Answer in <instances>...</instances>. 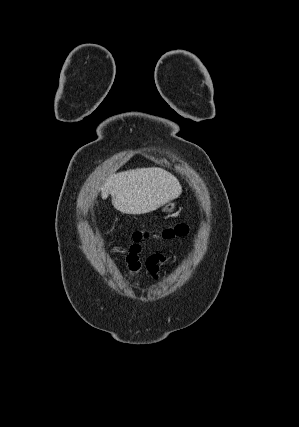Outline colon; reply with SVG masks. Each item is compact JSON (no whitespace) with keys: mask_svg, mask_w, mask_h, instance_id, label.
Returning a JSON list of instances; mask_svg holds the SVG:
<instances>
[{"mask_svg":"<svg viewBox=\"0 0 299 427\" xmlns=\"http://www.w3.org/2000/svg\"><path fill=\"white\" fill-rule=\"evenodd\" d=\"M189 231V228L186 224H176L174 226L165 228L161 231L160 237L163 239H171L175 237L185 236ZM147 234L141 231H136L132 234V239L134 241H141L147 238Z\"/></svg>","mask_w":299,"mask_h":427,"instance_id":"1","label":"colon"}]
</instances>
